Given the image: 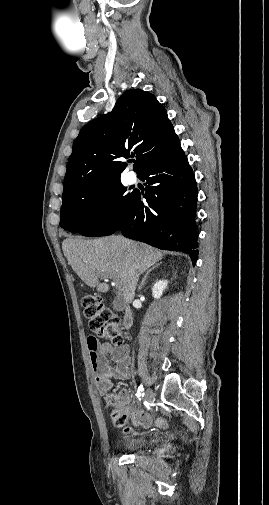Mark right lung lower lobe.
<instances>
[{
	"mask_svg": "<svg viewBox=\"0 0 269 505\" xmlns=\"http://www.w3.org/2000/svg\"><path fill=\"white\" fill-rule=\"evenodd\" d=\"M138 177L147 181L146 193L134 192L120 226L113 233L120 231L125 237L159 249L188 253L195 265L198 191L180 143L145 165ZM142 197L147 205L141 201Z\"/></svg>",
	"mask_w": 269,
	"mask_h": 505,
	"instance_id": "obj_1",
	"label": "right lung lower lobe"
}]
</instances>
